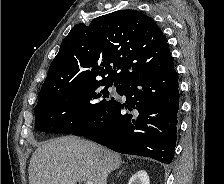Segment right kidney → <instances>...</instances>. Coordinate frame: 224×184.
I'll use <instances>...</instances> for the list:
<instances>
[{
  "mask_svg": "<svg viewBox=\"0 0 224 184\" xmlns=\"http://www.w3.org/2000/svg\"><path fill=\"white\" fill-rule=\"evenodd\" d=\"M128 184H150L148 174L143 170L138 171L130 178Z\"/></svg>",
  "mask_w": 224,
  "mask_h": 184,
  "instance_id": "1",
  "label": "right kidney"
}]
</instances>
